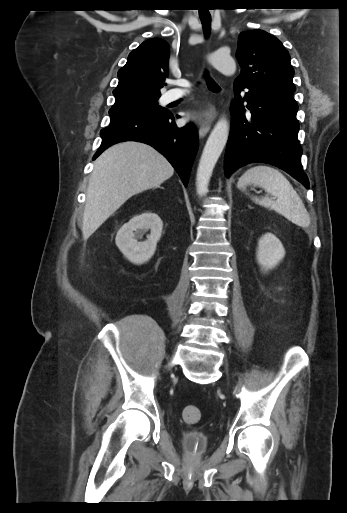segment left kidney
I'll use <instances>...</instances> for the list:
<instances>
[{"label": "left kidney", "instance_id": "5707ae66", "mask_svg": "<svg viewBox=\"0 0 347 513\" xmlns=\"http://www.w3.org/2000/svg\"><path fill=\"white\" fill-rule=\"evenodd\" d=\"M284 256L285 249L274 234L266 233L259 239L257 261L265 271L274 268Z\"/></svg>", "mask_w": 347, "mask_h": 513}]
</instances>
